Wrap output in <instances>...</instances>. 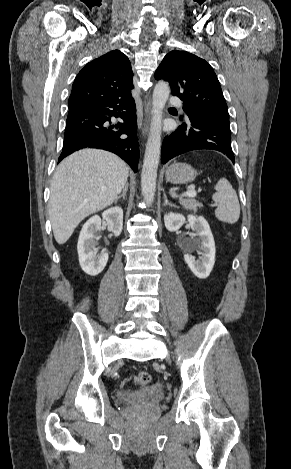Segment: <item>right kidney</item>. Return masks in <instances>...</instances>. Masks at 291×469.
I'll list each match as a JSON object with an SVG mask.
<instances>
[{"label": "right kidney", "mask_w": 291, "mask_h": 469, "mask_svg": "<svg viewBox=\"0 0 291 469\" xmlns=\"http://www.w3.org/2000/svg\"><path fill=\"white\" fill-rule=\"evenodd\" d=\"M108 230L115 236H119L123 227V210L121 207H113L103 212ZM101 230V218L98 215L92 216L82 227L77 251L79 263L82 270L90 275L96 276L102 272L108 261V253L102 252L96 255V234Z\"/></svg>", "instance_id": "right-kidney-1"}]
</instances>
